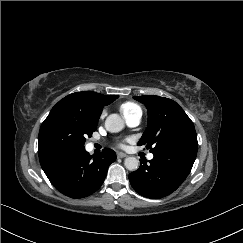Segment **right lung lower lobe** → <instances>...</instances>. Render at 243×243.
<instances>
[{"label": "right lung lower lobe", "mask_w": 243, "mask_h": 243, "mask_svg": "<svg viewBox=\"0 0 243 243\" xmlns=\"http://www.w3.org/2000/svg\"><path fill=\"white\" fill-rule=\"evenodd\" d=\"M41 167L52 185L71 198H83L98 190L108 167L116 160L114 151L104 149L94 156L85 148L39 155Z\"/></svg>", "instance_id": "1"}]
</instances>
